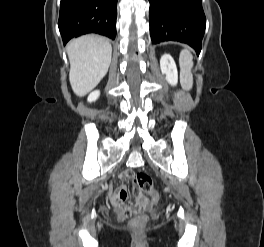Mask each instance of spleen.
Returning a JSON list of instances; mask_svg holds the SVG:
<instances>
[{
    "mask_svg": "<svg viewBox=\"0 0 264 247\" xmlns=\"http://www.w3.org/2000/svg\"><path fill=\"white\" fill-rule=\"evenodd\" d=\"M193 57L189 50L184 49L180 53L179 65H180V78L182 87L185 90H190L193 86V75L191 69L193 67Z\"/></svg>",
    "mask_w": 264,
    "mask_h": 247,
    "instance_id": "3e777b00",
    "label": "spleen"
}]
</instances>
